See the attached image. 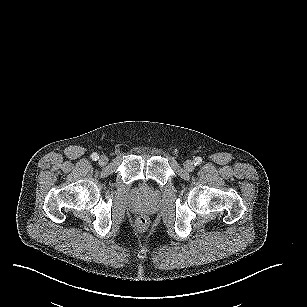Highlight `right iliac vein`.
<instances>
[{
  "label": "right iliac vein",
  "instance_id": "1",
  "mask_svg": "<svg viewBox=\"0 0 307 307\" xmlns=\"http://www.w3.org/2000/svg\"><path fill=\"white\" fill-rule=\"evenodd\" d=\"M100 166H105L108 163V158L105 155L100 156L98 161Z\"/></svg>",
  "mask_w": 307,
  "mask_h": 307
}]
</instances>
